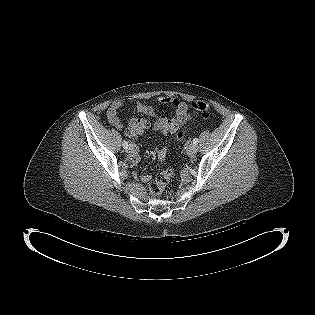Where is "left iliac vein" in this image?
Here are the masks:
<instances>
[{
    "label": "left iliac vein",
    "mask_w": 315,
    "mask_h": 315,
    "mask_svg": "<svg viewBox=\"0 0 315 315\" xmlns=\"http://www.w3.org/2000/svg\"><path fill=\"white\" fill-rule=\"evenodd\" d=\"M198 151L197 144L191 143L188 147V153L189 154H195Z\"/></svg>",
    "instance_id": "obj_1"
}]
</instances>
